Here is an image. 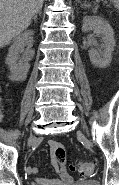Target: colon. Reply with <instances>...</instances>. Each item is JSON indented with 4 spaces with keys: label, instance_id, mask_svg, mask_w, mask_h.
<instances>
[{
    "label": "colon",
    "instance_id": "5ec220e1",
    "mask_svg": "<svg viewBox=\"0 0 119 185\" xmlns=\"http://www.w3.org/2000/svg\"><path fill=\"white\" fill-rule=\"evenodd\" d=\"M70 169L76 170L82 177H87L92 174L94 167L91 162H82L76 165H71Z\"/></svg>",
    "mask_w": 119,
    "mask_h": 185
}]
</instances>
